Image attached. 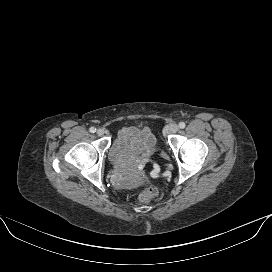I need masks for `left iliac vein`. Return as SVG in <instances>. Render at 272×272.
Instances as JSON below:
<instances>
[{"label":"left iliac vein","instance_id":"left-iliac-vein-1","mask_svg":"<svg viewBox=\"0 0 272 272\" xmlns=\"http://www.w3.org/2000/svg\"><path fill=\"white\" fill-rule=\"evenodd\" d=\"M178 130H179V126L177 124H172L168 128V131L171 133H176Z\"/></svg>","mask_w":272,"mask_h":272}]
</instances>
